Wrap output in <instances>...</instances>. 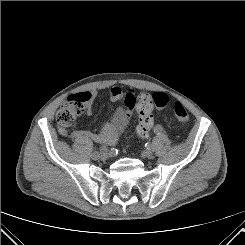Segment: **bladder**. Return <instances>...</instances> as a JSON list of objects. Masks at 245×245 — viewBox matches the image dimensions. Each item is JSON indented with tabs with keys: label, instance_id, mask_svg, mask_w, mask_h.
<instances>
[{
	"label": "bladder",
	"instance_id": "obj_1",
	"mask_svg": "<svg viewBox=\"0 0 245 245\" xmlns=\"http://www.w3.org/2000/svg\"><path fill=\"white\" fill-rule=\"evenodd\" d=\"M126 125V118L124 115L119 114L116 118V120L111 123V128L114 132H119L121 129H123Z\"/></svg>",
	"mask_w": 245,
	"mask_h": 245
}]
</instances>
